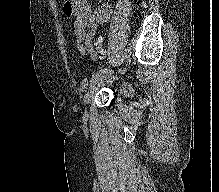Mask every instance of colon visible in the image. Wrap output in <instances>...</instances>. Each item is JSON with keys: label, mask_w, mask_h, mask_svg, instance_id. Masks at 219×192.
Here are the masks:
<instances>
[{"label": "colon", "mask_w": 219, "mask_h": 192, "mask_svg": "<svg viewBox=\"0 0 219 192\" xmlns=\"http://www.w3.org/2000/svg\"><path fill=\"white\" fill-rule=\"evenodd\" d=\"M91 51L95 54L103 53V45H102V40L100 38H96L92 41Z\"/></svg>", "instance_id": "5ec220e1"}]
</instances>
